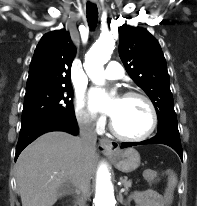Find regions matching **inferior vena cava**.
<instances>
[{
	"label": "inferior vena cava",
	"instance_id": "obj_1",
	"mask_svg": "<svg viewBox=\"0 0 197 206\" xmlns=\"http://www.w3.org/2000/svg\"><path fill=\"white\" fill-rule=\"evenodd\" d=\"M80 136L82 151L84 154L94 151L96 147L97 134L94 123L89 118H84L80 122ZM90 189V181L82 177L77 187V194L80 195L79 205L84 206V200Z\"/></svg>",
	"mask_w": 197,
	"mask_h": 206
}]
</instances>
